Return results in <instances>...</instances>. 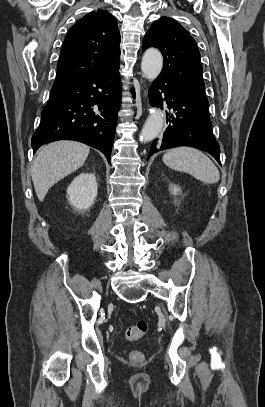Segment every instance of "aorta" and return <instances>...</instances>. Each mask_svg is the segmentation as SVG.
Wrapping results in <instances>:
<instances>
[{"mask_svg": "<svg viewBox=\"0 0 265 407\" xmlns=\"http://www.w3.org/2000/svg\"><path fill=\"white\" fill-rule=\"evenodd\" d=\"M163 67V57L158 50L149 49L145 51L141 70L149 80H154L158 77ZM163 114L160 109L152 108L150 114L141 130L140 141L143 143L150 142L157 137L163 127Z\"/></svg>", "mask_w": 265, "mask_h": 407, "instance_id": "1", "label": "aorta"}]
</instances>
